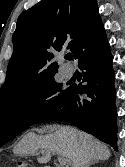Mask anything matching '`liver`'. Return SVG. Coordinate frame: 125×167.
Wrapping results in <instances>:
<instances>
[{"label":"liver","instance_id":"1","mask_svg":"<svg viewBox=\"0 0 125 167\" xmlns=\"http://www.w3.org/2000/svg\"><path fill=\"white\" fill-rule=\"evenodd\" d=\"M43 130H47V133H27L13 152L18 155H34L42 149L44 154L37 159L39 163L46 164L51 154H58L68 158L72 167H85L91 161L107 160L111 156L106 144L70 126L49 125L43 127Z\"/></svg>","mask_w":125,"mask_h":167}]
</instances>
